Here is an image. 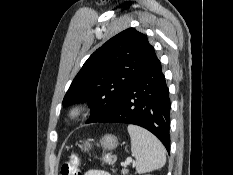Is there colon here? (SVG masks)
Masks as SVG:
<instances>
[{
	"label": "colon",
	"mask_w": 233,
	"mask_h": 175,
	"mask_svg": "<svg viewBox=\"0 0 233 175\" xmlns=\"http://www.w3.org/2000/svg\"><path fill=\"white\" fill-rule=\"evenodd\" d=\"M103 162L105 164H112L114 158L110 154H105ZM59 175H81V160L77 153H72L68 160L63 163Z\"/></svg>",
	"instance_id": "5ec220e1"
}]
</instances>
